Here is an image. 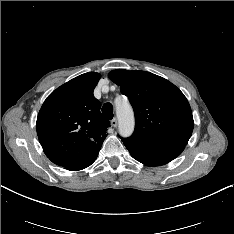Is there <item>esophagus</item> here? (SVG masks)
<instances>
[{
    "label": "esophagus",
    "instance_id": "1",
    "mask_svg": "<svg viewBox=\"0 0 234 234\" xmlns=\"http://www.w3.org/2000/svg\"><path fill=\"white\" fill-rule=\"evenodd\" d=\"M111 125H112L113 127H117V125H118V120H117V118H113V119L111 120Z\"/></svg>",
    "mask_w": 234,
    "mask_h": 234
}]
</instances>
